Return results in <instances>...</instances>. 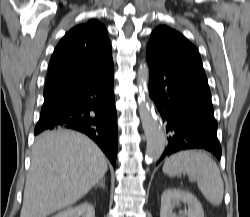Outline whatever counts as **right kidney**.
<instances>
[{
	"instance_id": "1",
	"label": "right kidney",
	"mask_w": 250,
	"mask_h": 217,
	"mask_svg": "<svg viewBox=\"0 0 250 217\" xmlns=\"http://www.w3.org/2000/svg\"><path fill=\"white\" fill-rule=\"evenodd\" d=\"M52 217H95V209L86 202L75 207H69Z\"/></svg>"
}]
</instances>
